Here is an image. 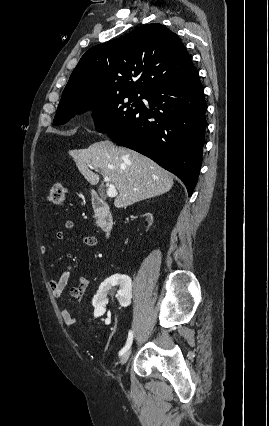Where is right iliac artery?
Instances as JSON below:
<instances>
[{
	"label": "right iliac artery",
	"mask_w": 269,
	"mask_h": 426,
	"mask_svg": "<svg viewBox=\"0 0 269 426\" xmlns=\"http://www.w3.org/2000/svg\"><path fill=\"white\" fill-rule=\"evenodd\" d=\"M132 340H133V332L130 330L129 334H128L127 342H126L125 346L119 352V356H121L124 352H126L130 348V346L132 344Z\"/></svg>",
	"instance_id": "1"
}]
</instances>
